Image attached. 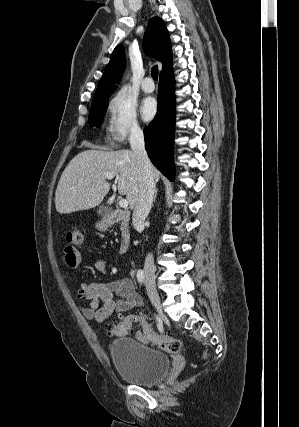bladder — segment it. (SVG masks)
<instances>
[{"mask_svg": "<svg viewBox=\"0 0 299 427\" xmlns=\"http://www.w3.org/2000/svg\"><path fill=\"white\" fill-rule=\"evenodd\" d=\"M110 355L116 372L139 386H153L166 378L169 357L135 339L120 338L110 343Z\"/></svg>", "mask_w": 299, "mask_h": 427, "instance_id": "31cf9c89", "label": "bladder"}]
</instances>
